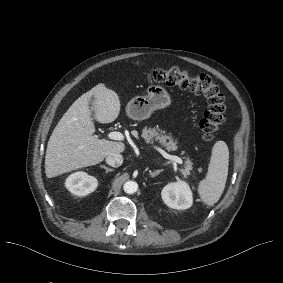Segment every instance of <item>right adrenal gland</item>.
<instances>
[{
    "mask_svg": "<svg viewBox=\"0 0 283 283\" xmlns=\"http://www.w3.org/2000/svg\"><path fill=\"white\" fill-rule=\"evenodd\" d=\"M100 167L106 170L107 173L113 171V169L107 168L105 165H102V164H100Z\"/></svg>",
    "mask_w": 283,
    "mask_h": 283,
    "instance_id": "2a0ac1e0",
    "label": "right adrenal gland"
}]
</instances>
